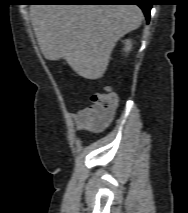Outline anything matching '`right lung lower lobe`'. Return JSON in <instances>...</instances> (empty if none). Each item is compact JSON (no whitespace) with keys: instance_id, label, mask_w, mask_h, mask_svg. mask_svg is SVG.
Returning a JSON list of instances; mask_svg holds the SVG:
<instances>
[{"instance_id":"obj_1","label":"right lung lower lobe","mask_w":188,"mask_h":213,"mask_svg":"<svg viewBox=\"0 0 188 213\" xmlns=\"http://www.w3.org/2000/svg\"><path fill=\"white\" fill-rule=\"evenodd\" d=\"M42 3L53 4H136L144 12L147 21L150 18L152 3L150 0H45Z\"/></svg>"}]
</instances>
